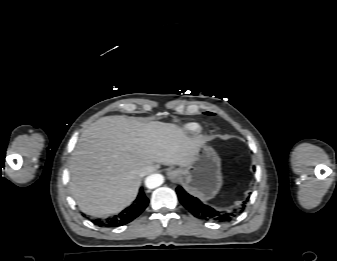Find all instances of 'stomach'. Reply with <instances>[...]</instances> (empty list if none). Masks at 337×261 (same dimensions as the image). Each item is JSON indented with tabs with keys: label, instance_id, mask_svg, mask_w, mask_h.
I'll use <instances>...</instances> for the list:
<instances>
[{
	"label": "stomach",
	"instance_id": "0dacf381",
	"mask_svg": "<svg viewBox=\"0 0 337 261\" xmlns=\"http://www.w3.org/2000/svg\"><path fill=\"white\" fill-rule=\"evenodd\" d=\"M177 172L186 190L203 200L212 199L223 183L220 158L216 151L204 142L193 163L179 168Z\"/></svg>",
	"mask_w": 337,
	"mask_h": 261
}]
</instances>
